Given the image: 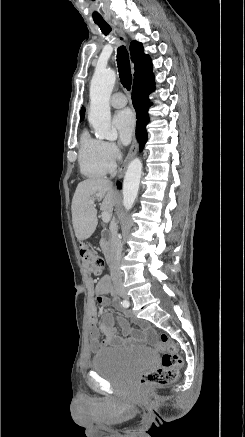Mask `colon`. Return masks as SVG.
I'll list each match as a JSON object with an SVG mask.
<instances>
[{"label":"colon","mask_w":245,"mask_h":437,"mask_svg":"<svg viewBox=\"0 0 245 437\" xmlns=\"http://www.w3.org/2000/svg\"><path fill=\"white\" fill-rule=\"evenodd\" d=\"M82 271L84 275H99L104 268V261L98 253L89 246H82L80 249ZM160 349L164 352L162 366L144 373L140 377L142 386H163L173 383L178 378L179 369L182 366V358L177 352V346L167 335L159 337Z\"/></svg>","instance_id":"colon-1"}]
</instances>
